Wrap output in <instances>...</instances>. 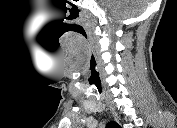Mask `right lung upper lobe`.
<instances>
[{
    "label": "right lung upper lobe",
    "mask_w": 177,
    "mask_h": 128,
    "mask_svg": "<svg viewBox=\"0 0 177 128\" xmlns=\"http://www.w3.org/2000/svg\"><path fill=\"white\" fill-rule=\"evenodd\" d=\"M108 128H120V126L116 122H109L107 124Z\"/></svg>",
    "instance_id": "right-lung-upper-lobe-1"
}]
</instances>
